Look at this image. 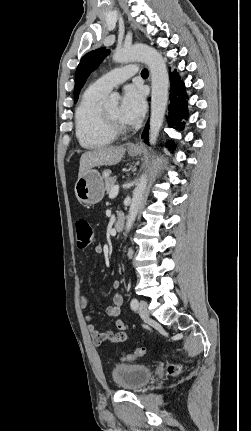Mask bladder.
Returning <instances> with one entry per match:
<instances>
[{
	"mask_svg": "<svg viewBox=\"0 0 251 431\" xmlns=\"http://www.w3.org/2000/svg\"><path fill=\"white\" fill-rule=\"evenodd\" d=\"M111 375L118 388L137 390L150 381L152 370L142 364H117L113 367Z\"/></svg>",
	"mask_w": 251,
	"mask_h": 431,
	"instance_id": "1",
	"label": "bladder"
}]
</instances>
